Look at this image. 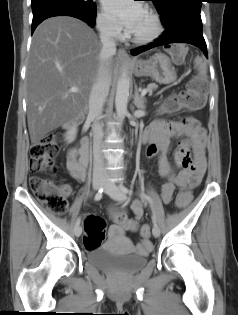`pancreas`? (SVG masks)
Listing matches in <instances>:
<instances>
[{
	"label": "pancreas",
	"mask_w": 238,
	"mask_h": 315,
	"mask_svg": "<svg viewBox=\"0 0 238 315\" xmlns=\"http://www.w3.org/2000/svg\"><path fill=\"white\" fill-rule=\"evenodd\" d=\"M158 88V85L155 84V83H150L148 86H147V90L149 92V94L151 95L153 90L157 89Z\"/></svg>",
	"instance_id": "cf45deb5"
}]
</instances>
